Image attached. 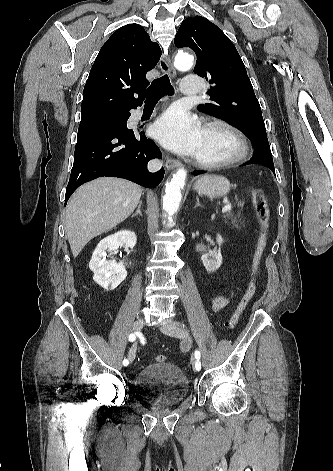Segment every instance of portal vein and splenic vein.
<instances>
[{
  "label": "portal vein and splenic vein",
  "mask_w": 333,
  "mask_h": 471,
  "mask_svg": "<svg viewBox=\"0 0 333 471\" xmlns=\"http://www.w3.org/2000/svg\"><path fill=\"white\" fill-rule=\"evenodd\" d=\"M228 210H230V205L225 204L224 207L222 208V213H226Z\"/></svg>",
  "instance_id": "portal-vein-and-splenic-vein-1"
}]
</instances>
